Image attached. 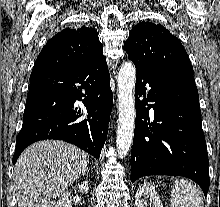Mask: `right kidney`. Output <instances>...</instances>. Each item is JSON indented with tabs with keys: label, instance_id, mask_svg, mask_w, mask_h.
<instances>
[{
	"label": "right kidney",
	"instance_id": "1",
	"mask_svg": "<svg viewBox=\"0 0 220 207\" xmlns=\"http://www.w3.org/2000/svg\"><path fill=\"white\" fill-rule=\"evenodd\" d=\"M77 188L82 194L87 193L89 190L88 181L81 182V184H78ZM55 207H72V199L68 191H64L61 194L59 200L56 202Z\"/></svg>",
	"mask_w": 220,
	"mask_h": 207
}]
</instances>
